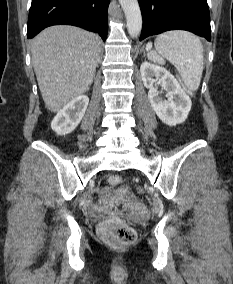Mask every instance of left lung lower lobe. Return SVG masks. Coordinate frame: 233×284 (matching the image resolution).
I'll list each match as a JSON object with an SVG mask.
<instances>
[{
	"instance_id": "0a47b994",
	"label": "left lung lower lobe",
	"mask_w": 233,
	"mask_h": 284,
	"mask_svg": "<svg viewBox=\"0 0 233 284\" xmlns=\"http://www.w3.org/2000/svg\"><path fill=\"white\" fill-rule=\"evenodd\" d=\"M143 27L140 40L168 30H187L211 40L207 0H138Z\"/></svg>"
}]
</instances>
